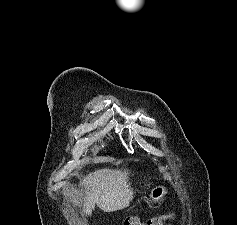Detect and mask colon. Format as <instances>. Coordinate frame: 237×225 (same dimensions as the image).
<instances>
[{
  "label": "colon",
  "mask_w": 237,
  "mask_h": 225,
  "mask_svg": "<svg viewBox=\"0 0 237 225\" xmlns=\"http://www.w3.org/2000/svg\"><path fill=\"white\" fill-rule=\"evenodd\" d=\"M171 218V215H163V216H157L153 217L146 222L140 220L136 216H130L125 219L123 225H164L167 220Z\"/></svg>",
  "instance_id": "1"
}]
</instances>
